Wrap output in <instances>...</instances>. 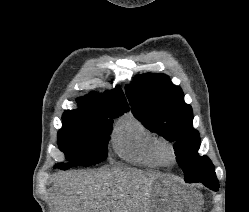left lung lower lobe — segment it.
Listing matches in <instances>:
<instances>
[{"label": "left lung lower lobe", "mask_w": 249, "mask_h": 212, "mask_svg": "<svg viewBox=\"0 0 249 212\" xmlns=\"http://www.w3.org/2000/svg\"><path fill=\"white\" fill-rule=\"evenodd\" d=\"M185 182L192 183V182H189V181H185ZM201 183H203L206 187H208L209 189H211L213 191H218L219 183H218L217 179L212 180V181L201 182Z\"/></svg>", "instance_id": "1"}]
</instances>
